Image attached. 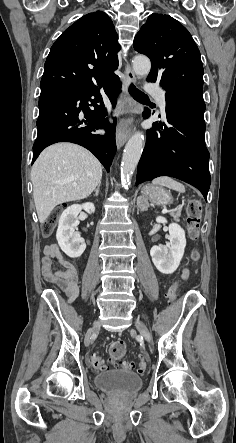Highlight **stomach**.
<instances>
[{
    "instance_id": "1",
    "label": "stomach",
    "mask_w": 236,
    "mask_h": 443,
    "mask_svg": "<svg viewBox=\"0 0 236 443\" xmlns=\"http://www.w3.org/2000/svg\"><path fill=\"white\" fill-rule=\"evenodd\" d=\"M141 193L147 201L155 205L165 206L172 202L170 193L159 185H146Z\"/></svg>"
}]
</instances>
